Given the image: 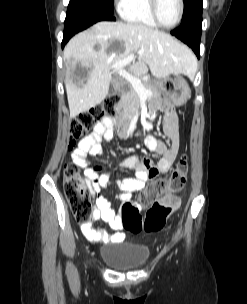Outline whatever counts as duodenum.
I'll return each instance as SVG.
<instances>
[{"mask_svg":"<svg viewBox=\"0 0 247 304\" xmlns=\"http://www.w3.org/2000/svg\"><path fill=\"white\" fill-rule=\"evenodd\" d=\"M118 113H123V106L120 105L118 106ZM115 119L118 120L117 125H116V130H118L120 136L123 137L124 139L128 136V131L127 127H129V124H132V119H130V116H127V118L122 119L121 115H116ZM118 134V133H117ZM122 139V140H124Z\"/></svg>","mask_w":247,"mask_h":304,"instance_id":"1","label":"duodenum"}]
</instances>
